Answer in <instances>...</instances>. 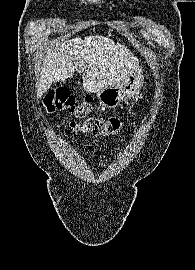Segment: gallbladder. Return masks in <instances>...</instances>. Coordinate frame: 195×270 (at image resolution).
I'll return each instance as SVG.
<instances>
[{
	"instance_id": "bac80fb5",
	"label": "gallbladder",
	"mask_w": 195,
	"mask_h": 270,
	"mask_svg": "<svg viewBox=\"0 0 195 270\" xmlns=\"http://www.w3.org/2000/svg\"><path fill=\"white\" fill-rule=\"evenodd\" d=\"M59 83H60V85H62V84H65L66 81L65 80H61V81H59Z\"/></svg>"
}]
</instances>
